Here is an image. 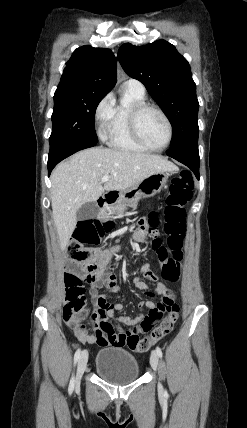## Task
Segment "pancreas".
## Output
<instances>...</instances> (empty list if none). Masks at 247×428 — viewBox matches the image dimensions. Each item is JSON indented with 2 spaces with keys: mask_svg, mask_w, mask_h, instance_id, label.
Masks as SVG:
<instances>
[{
  "mask_svg": "<svg viewBox=\"0 0 247 428\" xmlns=\"http://www.w3.org/2000/svg\"><path fill=\"white\" fill-rule=\"evenodd\" d=\"M136 204H132L131 206H135ZM127 207V204L123 203L121 200L113 207H110L108 209L107 214L104 215V217H107V215L115 214V213H122ZM103 217V218H104Z\"/></svg>",
  "mask_w": 247,
  "mask_h": 428,
  "instance_id": "1",
  "label": "pancreas"
}]
</instances>
